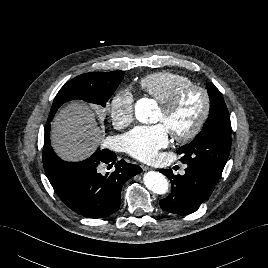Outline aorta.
<instances>
[{
    "mask_svg": "<svg viewBox=\"0 0 268 268\" xmlns=\"http://www.w3.org/2000/svg\"><path fill=\"white\" fill-rule=\"evenodd\" d=\"M155 105L151 99L142 98L136 102L135 117L141 123L152 122ZM143 182L145 186L156 194H165L169 189L166 177L156 171H148L144 174Z\"/></svg>",
    "mask_w": 268,
    "mask_h": 268,
    "instance_id": "762f6f07",
    "label": "aorta"
}]
</instances>
